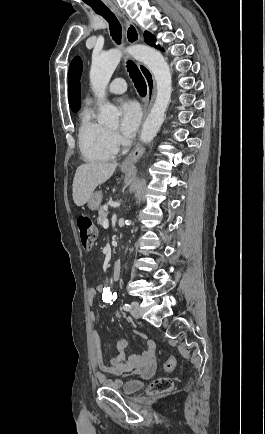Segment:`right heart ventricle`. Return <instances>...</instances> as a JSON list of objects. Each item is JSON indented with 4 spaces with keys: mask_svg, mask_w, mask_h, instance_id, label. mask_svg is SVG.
Instances as JSON below:
<instances>
[{
    "mask_svg": "<svg viewBox=\"0 0 265 434\" xmlns=\"http://www.w3.org/2000/svg\"><path fill=\"white\" fill-rule=\"evenodd\" d=\"M95 114L93 105L89 103L78 112L79 148L84 160L92 164L112 161L117 154L108 144V128L96 120Z\"/></svg>",
    "mask_w": 265,
    "mask_h": 434,
    "instance_id": "right-heart-ventricle-1",
    "label": "right heart ventricle"
}]
</instances>
